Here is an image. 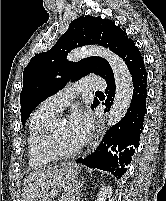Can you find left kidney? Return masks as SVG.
<instances>
[{
    "label": "left kidney",
    "mask_w": 166,
    "mask_h": 201,
    "mask_svg": "<svg viewBox=\"0 0 166 201\" xmlns=\"http://www.w3.org/2000/svg\"><path fill=\"white\" fill-rule=\"evenodd\" d=\"M111 194H112V187L104 186L97 195L96 201H106L107 198L109 199L108 201H111L110 200Z\"/></svg>",
    "instance_id": "1"
}]
</instances>
